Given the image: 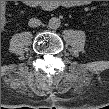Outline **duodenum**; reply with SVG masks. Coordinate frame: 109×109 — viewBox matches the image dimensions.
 Wrapping results in <instances>:
<instances>
[{
	"instance_id": "410a0bca",
	"label": "duodenum",
	"mask_w": 109,
	"mask_h": 109,
	"mask_svg": "<svg viewBox=\"0 0 109 109\" xmlns=\"http://www.w3.org/2000/svg\"><path fill=\"white\" fill-rule=\"evenodd\" d=\"M27 5L29 7H38L42 9H50L53 8L55 5L53 3H50L48 1H27Z\"/></svg>"
}]
</instances>
